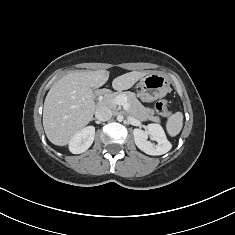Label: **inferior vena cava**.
<instances>
[{
  "label": "inferior vena cava",
  "mask_w": 235,
  "mask_h": 235,
  "mask_svg": "<svg viewBox=\"0 0 235 235\" xmlns=\"http://www.w3.org/2000/svg\"><path fill=\"white\" fill-rule=\"evenodd\" d=\"M95 117L100 121H107L112 117V111L105 106L96 109Z\"/></svg>",
  "instance_id": "obj_1"
}]
</instances>
